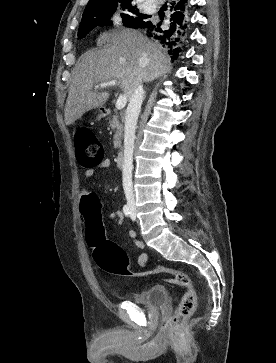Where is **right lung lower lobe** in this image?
<instances>
[{"label": "right lung lower lobe", "mask_w": 276, "mask_h": 363, "mask_svg": "<svg viewBox=\"0 0 276 363\" xmlns=\"http://www.w3.org/2000/svg\"><path fill=\"white\" fill-rule=\"evenodd\" d=\"M165 6L169 14L164 26L146 21L139 28L168 48L176 59L189 31V4L188 0H169Z\"/></svg>", "instance_id": "98d812e1"}]
</instances>
